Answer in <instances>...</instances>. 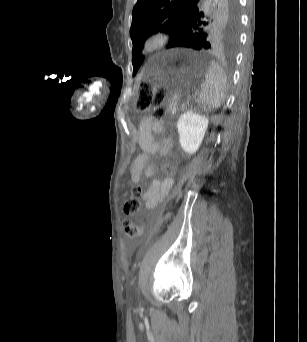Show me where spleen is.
<instances>
[{"label":"spleen","mask_w":307,"mask_h":342,"mask_svg":"<svg viewBox=\"0 0 307 342\" xmlns=\"http://www.w3.org/2000/svg\"><path fill=\"white\" fill-rule=\"evenodd\" d=\"M210 61L211 66L205 74V82L197 98L202 104V109L208 114H212L215 108H220L227 94V80L223 70L213 58Z\"/></svg>","instance_id":"spleen-1"}]
</instances>
